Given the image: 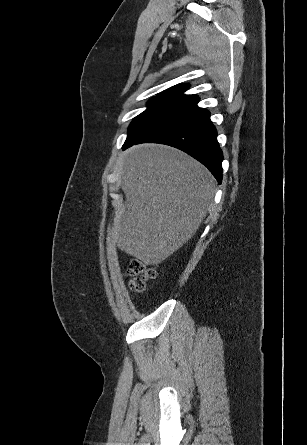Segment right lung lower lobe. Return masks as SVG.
Here are the masks:
<instances>
[{
	"label": "right lung lower lobe",
	"instance_id": "obj_1",
	"mask_svg": "<svg viewBox=\"0 0 307 445\" xmlns=\"http://www.w3.org/2000/svg\"><path fill=\"white\" fill-rule=\"evenodd\" d=\"M198 98L184 103L128 136L123 149L139 143H161L176 147L204 164L222 181L223 154L210 113L197 106Z\"/></svg>",
	"mask_w": 307,
	"mask_h": 445
}]
</instances>
